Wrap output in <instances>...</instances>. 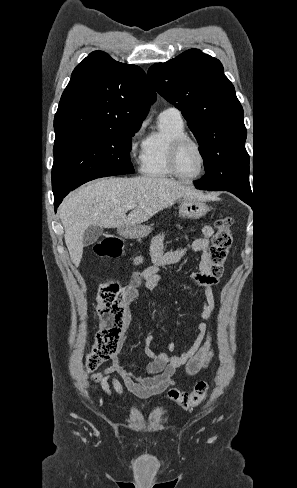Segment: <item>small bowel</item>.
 I'll return each instance as SVG.
<instances>
[{"instance_id":"c3829d8e","label":"small bowel","mask_w":297,"mask_h":488,"mask_svg":"<svg viewBox=\"0 0 297 488\" xmlns=\"http://www.w3.org/2000/svg\"><path fill=\"white\" fill-rule=\"evenodd\" d=\"M213 234L211 226H203L200 236L192 238L184 247L174 250H165V233L155 235L150 244V260L152 265L142 272H134L130 282L122 288L125 304L137 301L142 297V290L151 291L160 283L162 277L160 270L180 261L188 250L201 254L197 272L190 276V281L198 290L201 309L198 313L200 321L195 325L196 338L183 352H176L173 342L167 344L169 354L162 351H153L151 344L154 340L150 333L145 340V353L150 362L143 367L125 362L119 353L111 357V365L104 367L89 377L93 389L97 386L103 392L113 397H123V386L118 380L120 377L124 386L135 396L146 399L160 393L175 384L173 376L178 368L183 367L187 375L193 376L205 369L211 360V343L214 337L212 320L215 314V301L213 287L217 283L208 271L210 238ZM141 259L135 258L138 263ZM205 322H209L207 325ZM131 315L126 312L125 326L129 327ZM124 342V336L120 346Z\"/></svg>"}]
</instances>
